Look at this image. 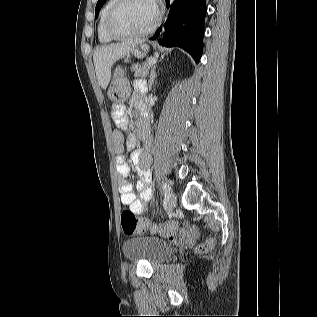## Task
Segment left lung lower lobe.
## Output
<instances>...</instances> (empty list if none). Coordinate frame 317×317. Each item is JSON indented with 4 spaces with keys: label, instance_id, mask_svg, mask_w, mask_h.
Here are the masks:
<instances>
[{
    "label": "left lung lower lobe",
    "instance_id": "obj_1",
    "mask_svg": "<svg viewBox=\"0 0 317 317\" xmlns=\"http://www.w3.org/2000/svg\"><path fill=\"white\" fill-rule=\"evenodd\" d=\"M167 1L169 15L164 23L165 36L159 44L166 47L178 46L192 55L199 62L202 55L204 19L206 15V0H177L170 4ZM158 33L150 38L155 40Z\"/></svg>",
    "mask_w": 317,
    "mask_h": 317
}]
</instances>
